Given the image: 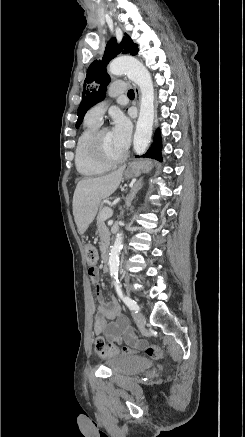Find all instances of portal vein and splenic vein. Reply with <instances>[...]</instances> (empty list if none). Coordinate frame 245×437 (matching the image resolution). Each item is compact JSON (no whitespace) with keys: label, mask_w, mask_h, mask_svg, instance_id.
I'll list each match as a JSON object with an SVG mask.
<instances>
[{"label":"portal vein and splenic vein","mask_w":245,"mask_h":437,"mask_svg":"<svg viewBox=\"0 0 245 437\" xmlns=\"http://www.w3.org/2000/svg\"><path fill=\"white\" fill-rule=\"evenodd\" d=\"M118 200H119V199H117L116 202H118ZM111 215H112V213H109V211L106 210V213H105V215H104L105 218H108V217L111 216Z\"/></svg>","instance_id":"portal-vein-and-splenic-vein-1"}]
</instances>
